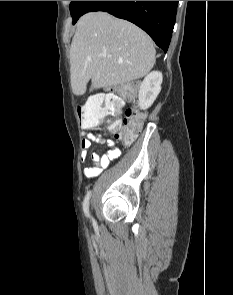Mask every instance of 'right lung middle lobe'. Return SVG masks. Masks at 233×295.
Listing matches in <instances>:
<instances>
[{"instance_id":"dd1d6c3e","label":"right lung middle lobe","mask_w":233,"mask_h":295,"mask_svg":"<svg viewBox=\"0 0 233 295\" xmlns=\"http://www.w3.org/2000/svg\"><path fill=\"white\" fill-rule=\"evenodd\" d=\"M86 2L87 1H71L69 8L73 18V24L82 16V11Z\"/></svg>"}]
</instances>
